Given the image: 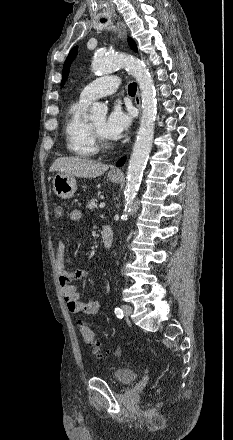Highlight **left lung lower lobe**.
Instances as JSON below:
<instances>
[{"mask_svg": "<svg viewBox=\"0 0 233 440\" xmlns=\"http://www.w3.org/2000/svg\"><path fill=\"white\" fill-rule=\"evenodd\" d=\"M125 157L124 158H122L118 163H117V165L118 166H121L124 162H125Z\"/></svg>", "mask_w": 233, "mask_h": 440, "instance_id": "left-lung-lower-lobe-1", "label": "left lung lower lobe"}]
</instances>
